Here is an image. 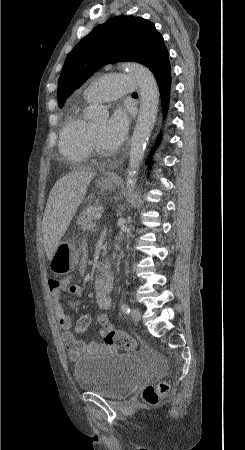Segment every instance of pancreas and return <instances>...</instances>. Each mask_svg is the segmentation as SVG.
<instances>
[{"instance_id": "pancreas-1", "label": "pancreas", "mask_w": 245, "mask_h": 450, "mask_svg": "<svg viewBox=\"0 0 245 450\" xmlns=\"http://www.w3.org/2000/svg\"><path fill=\"white\" fill-rule=\"evenodd\" d=\"M98 212V209L95 206H88L83 212L80 214L77 223L83 228L90 230L94 227V219L95 214Z\"/></svg>"}]
</instances>
